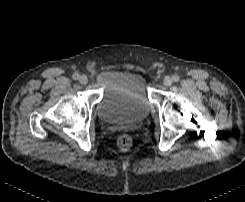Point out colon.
Instances as JSON below:
<instances>
[{"instance_id": "5ec220e1", "label": "colon", "mask_w": 245, "mask_h": 202, "mask_svg": "<svg viewBox=\"0 0 245 202\" xmlns=\"http://www.w3.org/2000/svg\"><path fill=\"white\" fill-rule=\"evenodd\" d=\"M132 146V138L128 135H123L118 139V147L122 151H127Z\"/></svg>"}]
</instances>
